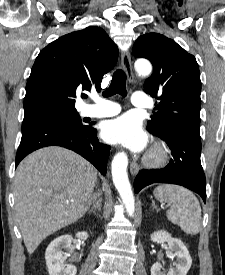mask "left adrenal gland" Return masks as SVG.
Returning a JSON list of instances; mask_svg holds the SVG:
<instances>
[{"label":"left adrenal gland","instance_id":"obj_1","mask_svg":"<svg viewBox=\"0 0 225 275\" xmlns=\"http://www.w3.org/2000/svg\"><path fill=\"white\" fill-rule=\"evenodd\" d=\"M152 207L155 208L157 211H159L158 207L155 205V201H152Z\"/></svg>","mask_w":225,"mask_h":275}]
</instances>
